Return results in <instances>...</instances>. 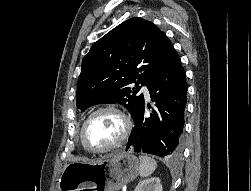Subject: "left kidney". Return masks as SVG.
<instances>
[{"label":"left kidney","mask_w":251,"mask_h":191,"mask_svg":"<svg viewBox=\"0 0 251 191\" xmlns=\"http://www.w3.org/2000/svg\"><path fill=\"white\" fill-rule=\"evenodd\" d=\"M134 191H162V183L160 177H149V179H142L136 185Z\"/></svg>","instance_id":"5707ae66"}]
</instances>
